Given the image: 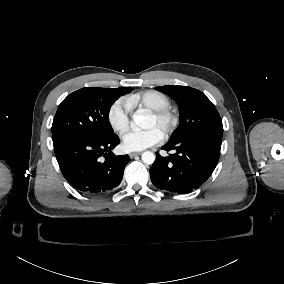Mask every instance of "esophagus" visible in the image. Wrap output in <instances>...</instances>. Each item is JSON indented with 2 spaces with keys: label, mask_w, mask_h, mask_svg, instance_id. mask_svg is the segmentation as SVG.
<instances>
[{
  "label": "esophagus",
  "mask_w": 284,
  "mask_h": 284,
  "mask_svg": "<svg viewBox=\"0 0 284 284\" xmlns=\"http://www.w3.org/2000/svg\"><path fill=\"white\" fill-rule=\"evenodd\" d=\"M141 152H131L129 153L130 158H134L136 155H140Z\"/></svg>",
  "instance_id": "1"
}]
</instances>
